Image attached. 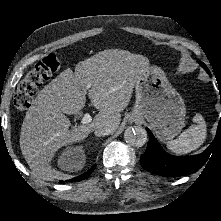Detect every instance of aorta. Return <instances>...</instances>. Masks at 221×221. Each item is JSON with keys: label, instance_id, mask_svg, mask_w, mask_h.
Masks as SVG:
<instances>
[{"label": "aorta", "instance_id": "1", "mask_svg": "<svg viewBox=\"0 0 221 221\" xmlns=\"http://www.w3.org/2000/svg\"><path fill=\"white\" fill-rule=\"evenodd\" d=\"M124 140L131 146L141 147L146 143L147 132L143 127H129L124 132Z\"/></svg>", "mask_w": 221, "mask_h": 221}]
</instances>
